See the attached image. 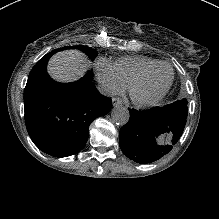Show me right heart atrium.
I'll return each instance as SVG.
<instances>
[{
  "label": "right heart atrium",
  "instance_id": "obj_1",
  "mask_svg": "<svg viewBox=\"0 0 219 219\" xmlns=\"http://www.w3.org/2000/svg\"><path fill=\"white\" fill-rule=\"evenodd\" d=\"M97 79L102 87L110 94H119L124 91V84L116 77L109 63L100 61L96 65Z\"/></svg>",
  "mask_w": 219,
  "mask_h": 219
}]
</instances>
